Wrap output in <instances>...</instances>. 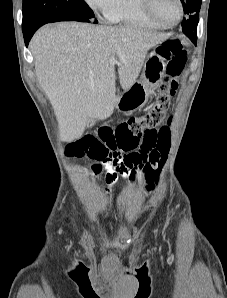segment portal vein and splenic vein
<instances>
[{
    "label": "portal vein and splenic vein",
    "instance_id": "1",
    "mask_svg": "<svg viewBox=\"0 0 227 298\" xmlns=\"http://www.w3.org/2000/svg\"><path fill=\"white\" fill-rule=\"evenodd\" d=\"M109 63L111 64V65H115V64H117L118 62H117V60L115 59V57L112 55L111 57H110V59H109Z\"/></svg>",
    "mask_w": 227,
    "mask_h": 298
}]
</instances>
